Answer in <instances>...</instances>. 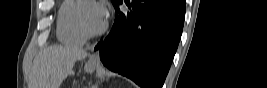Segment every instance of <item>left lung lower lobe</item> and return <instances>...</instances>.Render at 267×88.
I'll return each mask as SVG.
<instances>
[{
    "instance_id": "0a47b994",
    "label": "left lung lower lobe",
    "mask_w": 267,
    "mask_h": 88,
    "mask_svg": "<svg viewBox=\"0 0 267 88\" xmlns=\"http://www.w3.org/2000/svg\"><path fill=\"white\" fill-rule=\"evenodd\" d=\"M122 3V1L120 2ZM100 51L102 63L143 88H162L182 34L183 0H125Z\"/></svg>"
}]
</instances>
